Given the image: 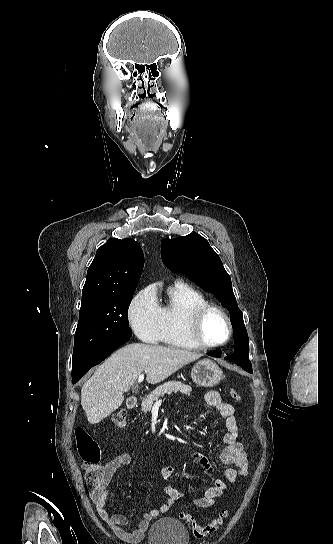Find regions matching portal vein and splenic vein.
I'll list each match as a JSON object with an SVG mask.
<instances>
[{
  "label": "portal vein and splenic vein",
  "instance_id": "1",
  "mask_svg": "<svg viewBox=\"0 0 333 544\" xmlns=\"http://www.w3.org/2000/svg\"><path fill=\"white\" fill-rule=\"evenodd\" d=\"M144 380V374H140L138 377V383H141Z\"/></svg>",
  "mask_w": 333,
  "mask_h": 544
}]
</instances>
